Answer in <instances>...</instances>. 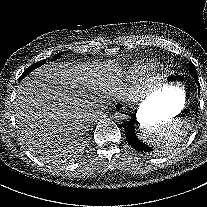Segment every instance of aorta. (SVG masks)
<instances>
[{"instance_id": "obj_1", "label": "aorta", "mask_w": 207, "mask_h": 207, "mask_svg": "<svg viewBox=\"0 0 207 207\" xmlns=\"http://www.w3.org/2000/svg\"><path fill=\"white\" fill-rule=\"evenodd\" d=\"M114 119H115L116 122L124 123V122H127L130 119V115H129L127 109L119 108L114 113Z\"/></svg>"}]
</instances>
